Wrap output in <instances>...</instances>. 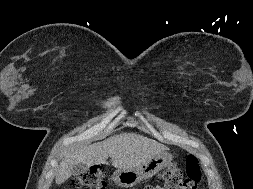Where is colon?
<instances>
[{"mask_svg":"<svg viewBox=\"0 0 253 189\" xmlns=\"http://www.w3.org/2000/svg\"><path fill=\"white\" fill-rule=\"evenodd\" d=\"M162 178L165 181V189H197L202 179L198 159L194 155H188L184 171L171 165L163 171ZM73 185L75 189H106L104 168L92 167L76 177Z\"/></svg>","mask_w":253,"mask_h":189,"instance_id":"1","label":"colon"}]
</instances>
